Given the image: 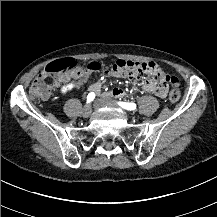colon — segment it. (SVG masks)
<instances>
[{"mask_svg":"<svg viewBox=\"0 0 217 217\" xmlns=\"http://www.w3.org/2000/svg\"><path fill=\"white\" fill-rule=\"evenodd\" d=\"M81 66L79 62L75 58H64L62 60H58L53 64L48 65L41 72V76L36 78L31 86V93L34 97H46L50 94L51 88L55 85V80L59 77H62L68 73H75ZM111 69L116 72H124L126 74L129 73H140L147 74L157 81L164 82L165 77H171L172 83L170 87H178L179 82L174 81L178 80L173 76L168 75L162 67H160L156 63L150 62H135L131 60L119 59L114 61L110 65ZM180 99V90H170L169 100L171 102H177Z\"/></svg>","mask_w":217,"mask_h":217,"instance_id":"5ec220e1","label":"colon"}]
</instances>
